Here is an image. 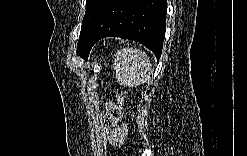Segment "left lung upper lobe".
<instances>
[{
    "label": "left lung upper lobe",
    "mask_w": 247,
    "mask_h": 156,
    "mask_svg": "<svg viewBox=\"0 0 247 156\" xmlns=\"http://www.w3.org/2000/svg\"><path fill=\"white\" fill-rule=\"evenodd\" d=\"M105 0H87L86 1V12L85 16L82 21V27H81V32H80V37H79V42H78V47H77V54L81 55L85 48V34L96 17L97 12L99 11L100 7L103 5Z\"/></svg>",
    "instance_id": "1"
}]
</instances>
